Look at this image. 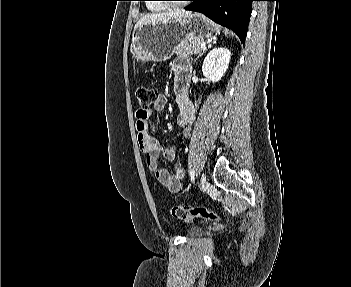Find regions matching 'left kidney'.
<instances>
[{
    "instance_id": "5707ae66",
    "label": "left kidney",
    "mask_w": 351,
    "mask_h": 287,
    "mask_svg": "<svg viewBox=\"0 0 351 287\" xmlns=\"http://www.w3.org/2000/svg\"><path fill=\"white\" fill-rule=\"evenodd\" d=\"M231 58V52L225 47L212 49L205 57L202 65L203 75L213 83L224 76Z\"/></svg>"
}]
</instances>
